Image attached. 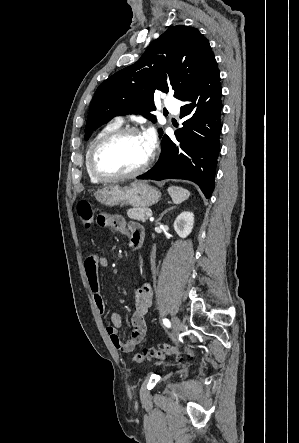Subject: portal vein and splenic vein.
<instances>
[{"label":"portal vein and splenic vein","instance_id":"obj_1","mask_svg":"<svg viewBox=\"0 0 299 443\" xmlns=\"http://www.w3.org/2000/svg\"><path fill=\"white\" fill-rule=\"evenodd\" d=\"M146 216H147V217H151V216H152V213H151V212H147V213H146Z\"/></svg>","mask_w":299,"mask_h":443}]
</instances>
